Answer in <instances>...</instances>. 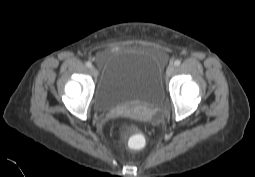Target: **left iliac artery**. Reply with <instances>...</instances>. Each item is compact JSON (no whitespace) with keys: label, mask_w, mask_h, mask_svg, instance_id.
Segmentation results:
<instances>
[{"label":"left iliac artery","mask_w":255,"mask_h":177,"mask_svg":"<svg viewBox=\"0 0 255 177\" xmlns=\"http://www.w3.org/2000/svg\"><path fill=\"white\" fill-rule=\"evenodd\" d=\"M181 64V61L180 60H176L175 62H174V65L175 66H179Z\"/></svg>","instance_id":"obj_1"}]
</instances>
